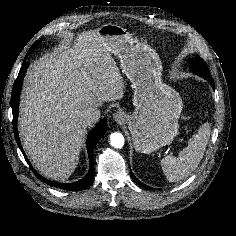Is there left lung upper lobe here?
I'll return each instance as SVG.
<instances>
[{"instance_id": "1", "label": "left lung upper lobe", "mask_w": 236, "mask_h": 236, "mask_svg": "<svg viewBox=\"0 0 236 236\" xmlns=\"http://www.w3.org/2000/svg\"><path fill=\"white\" fill-rule=\"evenodd\" d=\"M191 70L201 77H211L209 69L202 58L196 57L191 60Z\"/></svg>"}]
</instances>
